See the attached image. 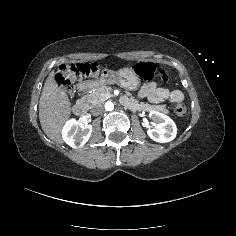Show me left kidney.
Returning a JSON list of instances; mask_svg holds the SVG:
<instances>
[{"mask_svg": "<svg viewBox=\"0 0 236 236\" xmlns=\"http://www.w3.org/2000/svg\"><path fill=\"white\" fill-rule=\"evenodd\" d=\"M149 117L153 120L154 128L148 129V136L159 143L172 141L177 134V127L174 121L167 115L151 110Z\"/></svg>", "mask_w": 236, "mask_h": 236, "instance_id": "5707ae66", "label": "left kidney"}]
</instances>
